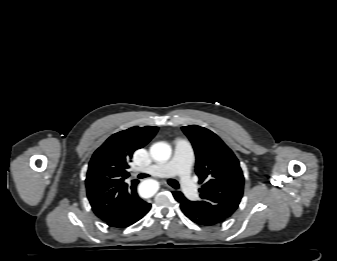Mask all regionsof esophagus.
<instances>
[{
	"mask_svg": "<svg viewBox=\"0 0 337 261\" xmlns=\"http://www.w3.org/2000/svg\"><path fill=\"white\" fill-rule=\"evenodd\" d=\"M165 186H166L167 188H169L170 190H173V188H172L171 186H169L168 184H165Z\"/></svg>",
	"mask_w": 337,
	"mask_h": 261,
	"instance_id": "34e87169",
	"label": "esophagus"
}]
</instances>
